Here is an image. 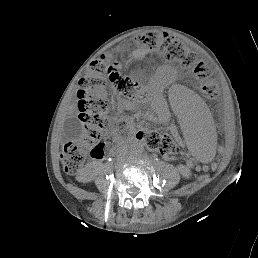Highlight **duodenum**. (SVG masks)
<instances>
[{
	"instance_id": "1",
	"label": "duodenum",
	"mask_w": 258,
	"mask_h": 258,
	"mask_svg": "<svg viewBox=\"0 0 258 258\" xmlns=\"http://www.w3.org/2000/svg\"><path fill=\"white\" fill-rule=\"evenodd\" d=\"M90 155L92 158H95V159L99 156H102V155H97L95 152H91Z\"/></svg>"
}]
</instances>
